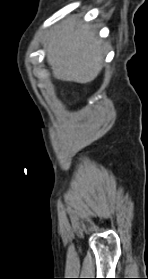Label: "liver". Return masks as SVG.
Listing matches in <instances>:
<instances>
[{
	"label": "liver",
	"instance_id": "obj_1",
	"mask_svg": "<svg viewBox=\"0 0 148 279\" xmlns=\"http://www.w3.org/2000/svg\"><path fill=\"white\" fill-rule=\"evenodd\" d=\"M46 55L54 77L62 81L89 83L103 67L101 41L89 25L76 21H66L52 34Z\"/></svg>",
	"mask_w": 148,
	"mask_h": 279
}]
</instances>
